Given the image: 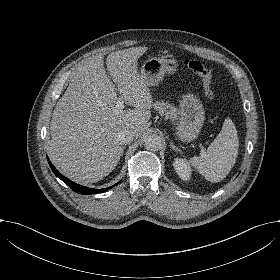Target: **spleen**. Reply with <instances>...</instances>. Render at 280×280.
Here are the masks:
<instances>
[{
    "mask_svg": "<svg viewBox=\"0 0 280 280\" xmlns=\"http://www.w3.org/2000/svg\"><path fill=\"white\" fill-rule=\"evenodd\" d=\"M239 149L237 130L231 119L226 118L221 132L210 144L207 151L193 157L189 164L210 182L223 180L236 162Z\"/></svg>",
    "mask_w": 280,
    "mask_h": 280,
    "instance_id": "3e777b00",
    "label": "spleen"
}]
</instances>
